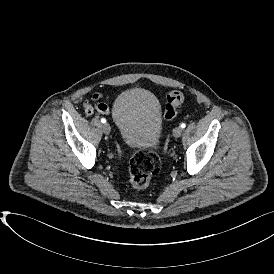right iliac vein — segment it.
I'll use <instances>...</instances> for the list:
<instances>
[{
    "instance_id": "obj_1",
    "label": "right iliac vein",
    "mask_w": 274,
    "mask_h": 274,
    "mask_svg": "<svg viewBox=\"0 0 274 274\" xmlns=\"http://www.w3.org/2000/svg\"><path fill=\"white\" fill-rule=\"evenodd\" d=\"M102 129H103V132L105 134H109L111 132V127L108 123H105L103 126H102Z\"/></svg>"
}]
</instances>
